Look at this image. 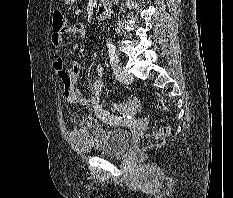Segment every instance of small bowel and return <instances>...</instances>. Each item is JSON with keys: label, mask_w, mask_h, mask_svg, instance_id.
Returning a JSON list of instances; mask_svg holds the SVG:
<instances>
[{"label": "small bowel", "mask_w": 233, "mask_h": 198, "mask_svg": "<svg viewBox=\"0 0 233 198\" xmlns=\"http://www.w3.org/2000/svg\"><path fill=\"white\" fill-rule=\"evenodd\" d=\"M65 35L83 38L85 35V25L82 22H77L73 25L65 26L60 32L53 31L51 35L52 45L55 47L62 46ZM53 69L63 84V96L68 103L93 107L95 115L98 118L107 119L106 114L99 105V98L104 87V68L102 66L99 65L95 69L97 79L88 86V97L84 96L77 85L78 76L81 71V65L77 61H72L70 66L66 68L63 58L58 57L53 62Z\"/></svg>", "instance_id": "small-bowel-1"}]
</instances>
